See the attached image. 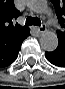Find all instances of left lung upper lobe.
<instances>
[{"label": "left lung upper lobe", "mask_w": 65, "mask_h": 89, "mask_svg": "<svg viewBox=\"0 0 65 89\" xmlns=\"http://www.w3.org/2000/svg\"><path fill=\"white\" fill-rule=\"evenodd\" d=\"M55 7L58 21L62 27L61 31H57V35L65 36V0H51Z\"/></svg>", "instance_id": "1"}]
</instances>
